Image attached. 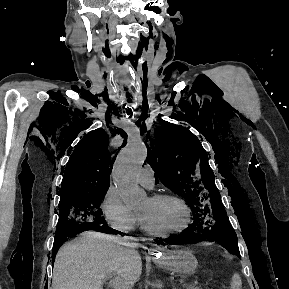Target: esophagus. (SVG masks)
Listing matches in <instances>:
<instances>
[{
  "mask_svg": "<svg viewBox=\"0 0 289 289\" xmlns=\"http://www.w3.org/2000/svg\"><path fill=\"white\" fill-rule=\"evenodd\" d=\"M160 250V248L158 246H152L149 248L148 253L150 255H155L158 251Z\"/></svg>",
  "mask_w": 289,
  "mask_h": 289,
  "instance_id": "1",
  "label": "esophagus"
}]
</instances>
